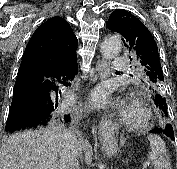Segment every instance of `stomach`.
<instances>
[{"mask_svg":"<svg viewBox=\"0 0 177 169\" xmlns=\"http://www.w3.org/2000/svg\"><path fill=\"white\" fill-rule=\"evenodd\" d=\"M103 150L107 156H114L117 154V147L111 142H105L103 144Z\"/></svg>","mask_w":177,"mask_h":169,"instance_id":"0dacf381","label":"stomach"}]
</instances>
